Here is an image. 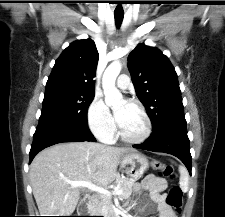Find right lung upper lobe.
I'll use <instances>...</instances> for the list:
<instances>
[{
	"mask_svg": "<svg viewBox=\"0 0 225 217\" xmlns=\"http://www.w3.org/2000/svg\"><path fill=\"white\" fill-rule=\"evenodd\" d=\"M99 54L91 39L71 43L57 59L46 84L45 93L70 92L94 94Z\"/></svg>",
	"mask_w": 225,
	"mask_h": 217,
	"instance_id": "obj_1",
	"label": "right lung upper lobe"
}]
</instances>
